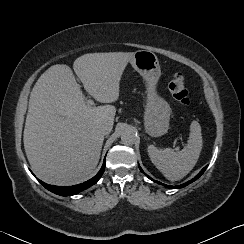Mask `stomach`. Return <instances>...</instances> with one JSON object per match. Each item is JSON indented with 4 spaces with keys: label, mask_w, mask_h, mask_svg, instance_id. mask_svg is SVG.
Segmentation results:
<instances>
[{
    "label": "stomach",
    "mask_w": 244,
    "mask_h": 244,
    "mask_svg": "<svg viewBox=\"0 0 244 244\" xmlns=\"http://www.w3.org/2000/svg\"><path fill=\"white\" fill-rule=\"evenodd\" d=\"M132 67L146 80V103L144 110L145 132L152 137L165 134L170 126L171 108L156 92L161 75L157 56L149 50H138L130 61Z\"/></svg>",
    "instance_id": "obj_1"
}]
</instances>
